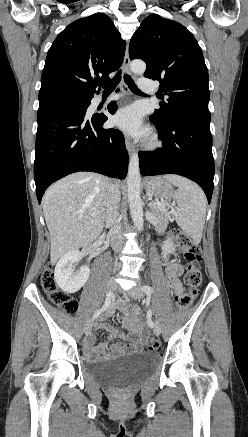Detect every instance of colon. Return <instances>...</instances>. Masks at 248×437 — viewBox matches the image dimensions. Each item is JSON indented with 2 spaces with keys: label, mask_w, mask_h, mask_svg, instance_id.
Segmentation results:
<instances>
[{
  "label": "colon",
  "mask_w": 248,
  "mask_h": 437,
  "mask_svg": "<svg viewBox=\"0 0 248 437\" xmlns=\"http://www.w3.org/2000/svg\"><path fill=\"white\" fill-rule=\"evenodd\" d=\"M176 243L183 250L187 264V274L184 278L186 290L175 295V302L179 309H186L190 306L193 299L198 295L202 283V273L200 262L202 260L199 245L191 239L175 234ZM41 286L49 299L67 314H73L77 310L78 303L69 294L59 289L54 278V270L51 265H47L41 275ZM160 341L152 337L148 341L149 350H157Z\"/></svg>",
  "instance_id": "colon-1"
}]
</instances>
